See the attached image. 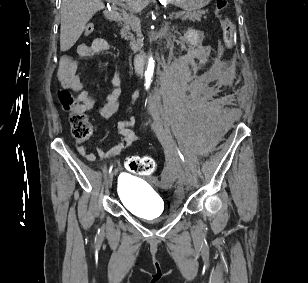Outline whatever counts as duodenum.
<instances>
[{
  "label": "duodenum",
  "instance_id": "duodenum-1",
  "mask_svg": "<svg viewBox=\"0 0 308 283\" xmlns=\"http://www.w3.org/2000/svg\"><path fill=\"white\" fill-rule=\"evenodd\" d=\"M107 19L110 22L117 23L121 20V15L118 12H110L107 15ZM144 65V55L142 53H138L134 57V68L136 72H140L143 69Z\"/></svg>",
  "mask_w": 308,
  "mask_h": 283
}]
</instances>
